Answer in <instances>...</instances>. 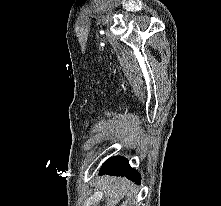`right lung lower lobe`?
Masks as SVG:
<instances>
[{
    "label": "right lung lower lobe",
    "mask_w": 221,
    "mask_h": 206,
    "mask_svg": "<svg viewBox=\"0 0 221 206\" xmlns=\"http://www.w3.org/2000/svg\"><path fill=\"white\" fill-rule=\"evenodd\" d=\"M126 176L128 179L140 184V174L132 169L127 159L116 156L108 159L100 168V174Z\"/></svg>",
    "instance_id": "98d812e1"
}]
</instances>
